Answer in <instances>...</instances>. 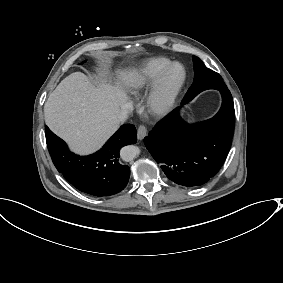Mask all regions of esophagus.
I'll return each instance as SVG.
<instances>
[{
	"label": "esophagus",
	"mask_w": 283,
	"mask_h": 283,
	"mask_svg": "<svg viewBox=\"0 0 283 283\" xmlns=\"http://www.w3.org/2000/svg\"><path fill=\"white\" fill-rule=\"evenodd\" d=\"M146 134H147L146 127L143 125H140L137 131L138 139L142 140L146 136Z\"/></svg>",
	"instance_id": "esophagus-1"
}]
</instances>
